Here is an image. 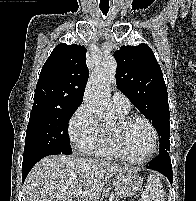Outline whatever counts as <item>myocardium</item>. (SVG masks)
Segmentation results:
<instances>
[{
  "label": "myocardium",
  "mask_w": 196,
  "mask_h": 201,
  "mask_svg": "<svg viewBox=\"0 0 196 201\" xmlns=\"http://www.w3.org/2000/svg\"><path fill=\"white\" fill-rule=\"evenodd\" d=\"M136 121H141L145 123L151 133H152V147L151 150L147 155H145L142 158H134L130 155L128 150L125 147L124 143V131L125 129L131 125L132 123ZM112 136L115 143V146L120 153V155L123 157L124 160L132 163V164H144L148 162L156 153L159 143V136L158 132L154 126V124L146 117L140 116V115H126L123 117H120L116 123L115 126L112 127Z\"/></svg>",
  "instance_id": "f54148a6"
}]
</instances>
